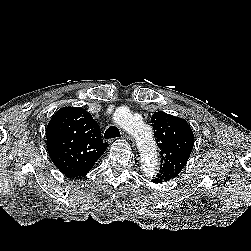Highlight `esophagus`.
<instances>
[{
    "label": "esophagus",
    "mask_w": 251,
    "mask_h": 251,
    "mask_svg": "<svg viewBox=\"0 0 251 251\" xmlns=\"http://www.w3.org/2000/svg\"><path fill=\"white\" fill-rule=\"evenodd\" d=\"M123 138L125 139V140H127V142L129 143V144H131L132 146H134V139L132 138V137H130V136H128V135H124L123 136Z\"/></svg>",
    "instance_id": "1"
}]
</instances>
